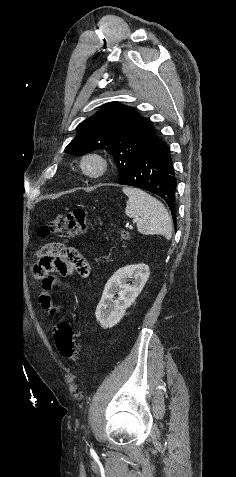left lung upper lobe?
<instances>
[{"mask_svg":"<svg viewBox=\"0 0 236 477\" xmlns=\"http://www.w3.org/2000/svg\"><path fill=\"white\" fill-rule=\"evenodd\" d=\"M101 108L77 126L78 133L64 152L83 155L98 149L108 151L114 157L121 181L134 158L155 138L154 126L133 107L110 102Z\"/></svg>","mask_w":236,"mask_h":477,"instance_id":"5c2ea615","label":"left lung upper lobe"}]
</instances>
